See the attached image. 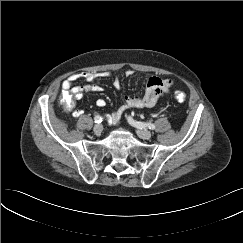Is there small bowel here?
Masks as SVG:
<instances>
[{
  "instance_id": "obj_1",
  "label": "small bowel",
  "mask_w": 243,
  "mask_h": 243,
  "mask_svg": "<svg viewBox=\"0 0 243 243\" xmlns=\"http://www.w3.org/2000/svg\"><path fill=\"white\" fill-rule=\"evenodd\" d=\"M132 74L131 71L127 72V76ZM109 73L107 72H81L69 76L62 83L63 93H70L74 100H80L84 93L86 92H101L103 88L96 83V80L103 77H108ZM78 79L85 80L88 84L84 86H76L74 82ZM173 80L162 78L160 76L151 75L147 78L146 88L144 94L140 96H125L123 104L112 114L111 122L113 124L119 123L123 114L131 108H151L154 107L159 99L167 94L171 87L173 86ZM113 85L116 89L121 88V81L119 78L115 77L113 79ZM106 104L105 100L99 98L96 100V105L98 107H104ZM77 116L82 114V111L76 110L74 112Z\"/></svg>"
}]
</instances>
